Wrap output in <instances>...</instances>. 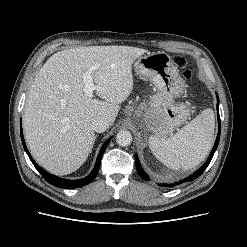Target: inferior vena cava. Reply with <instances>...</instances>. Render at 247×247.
<instances>
[{
  "instance_id": "inferior-vena-cava-1",
  "label": "inferior vena cava",
  "mask_w": 247,
  "mask_h": 247,
  "mask_svg": "<svg viewBox=\"0 0 247 247\" xmlns=\"http://www.w3.org/2000/svg\"><path fill=\"white\" fill-rule=\"evenodd\" d=\"M91 127L95 132L102 133L109 128V122L106 118L97 116L92 120Z\"/></svg>"
}]
</instances>
